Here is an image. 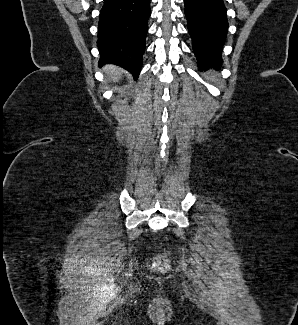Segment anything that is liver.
Instances as JSON below:
<instances>
[{"mask_svg":"<svg viewBox=\"0 0 298 325\" xmlns=\"http://www.w3.org/2000/svg\"><path fill=\"white\" fill-rule=\"evenodd\" d=\"M104 70H106V72H111V74H114V76H112V80H114V82H117V80H119L123 72L122 68H118V66H113V64H108V66H104Z\"/></svg>","mask_w":298,"mask_h":325,"instance_id":"1","label":"liver"}]
</instances>
